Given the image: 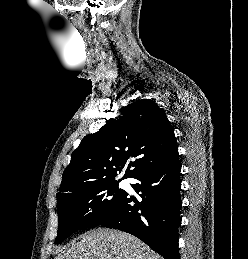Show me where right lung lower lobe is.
Instances as JSON below:
<instances>
[{
  "instance_id": "obj_1",
  "label": "right lung lower lobe",
  "mask_w": 248,
  "mask_h": 259,
  "mask_svg": "<svg viewBox=\"0 0 248 259\" xmlns=\"http://www.w3.org/2000/svg\"><path fill=\"white\" fill-rule=\"evenodd\" d=\"M180 171L178 154L139 171L132 178L140 182L132 187L141 192V203L126 193L115 214L101 226L138 237L165 259H179Z\"/></svg>"
}]
</instances>
